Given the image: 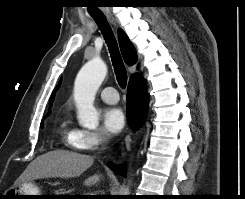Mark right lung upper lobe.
I'll return each mask as SVG.
<instances>
[{
	"mask_svg": "<svg viewBox=\"0 0 245 199\" xmlns=\"http://www.w3.org/2000/svg\"><path fill=\"white\" fill-rule=\"evenodd\" d=\"M118 36H119V44H120L121 52H122V55H123V58H124L126 64H128L129 66L135 64L137 62V54H136V51H135L132 43L130 42V40L128 39V37L124 31L119 30ZM140 80H141V78L137 74H135L132 76V78L130 79L129 82H137ZM59 86H60V82L57 85L56 89ZM54 96H55V90L53 91V93L51 95V99H50V103H49L50 107L52 106ZM49 114H50V112H49ZM49 114H47V115H49Z\"/></svg>",
	"mask_w": 245,
	"mask_h": 199,
	"instance_id": "cb5924a9",
	"label": "right lung upper lobe"
}]
</instances>
